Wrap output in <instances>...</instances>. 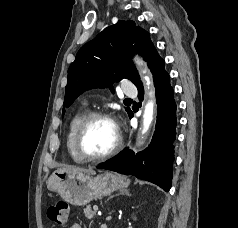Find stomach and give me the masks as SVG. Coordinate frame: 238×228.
<instances>
[{
	"label": "stomach",
	"mask_w": 238,
	"mask_h": 228,
	"mask_svg": "<svg viewBox=\"0 0 238 228\" xmlns=\"http://www.w3.org/2000/svg\"><path fill=\"white\" fill-rule=\"evenodd\" d=\"M129 183V179L112 172L92 176L88 173L59 169L48 178L47 188L57 192L68 203L83 206L94 199L125 188Z\"/></svg>",
	"instance_id": "0dacf381"
}]
</instances>
